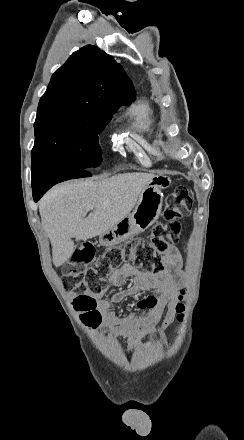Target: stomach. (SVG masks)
I'll list each match as a JSON object with an SVG mask.
<instances>
[{
    "mask_svg": "<svg viewBox=\"0 0 244 440\" xmlns=\"http://www.w3.org/2000/svg\"><path fill=\"white\" fill-rule=\"evenodd\" d=\"M172 186L170 176H154L143 188L138 202L132 212L120 220L118 224L103 232L99 236L101 246L106 248H115L117 244L125 242L131 236H138L145 232L154 222H157L163 204V192L166 188Z\"/></svg>",
    "mask_w": 244,
    "mask_h": 440,
    "instance_id": "stomach-1",
    "label": "stomach"
}]
</instances>
